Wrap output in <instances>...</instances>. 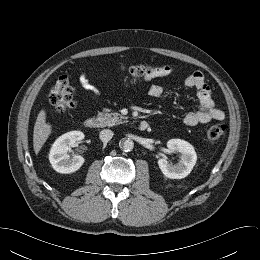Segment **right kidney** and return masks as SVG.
<instances>
[{
	"label": "right kidney",
	"instance_id": "1",
	"mask_svg": "<svg viewBox=\"0 0 260 260\" xmlns=\"http://www.w3.org/2000/svg\"><path fill=\"white\" fill-rule=\"evenodd\" d=\"M84 139L81 131H71L60 136L52 145L49 153V161L53 169L62 174H69L77 171L84 163L85 159L80 155L67 154L71 148L79 144Z\"/></svg>",
	"mask_w": 260,
	"mask_h": 260
}]
</instances>
